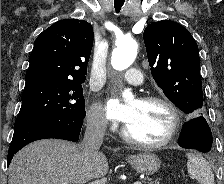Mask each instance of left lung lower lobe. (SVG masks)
Here are the masks:
<instances>
[{"mask_svg": "<svg viewBox=\"0 0 224 184\" xmlns=\"http://www.w3.org/2000/svg\"><path fill=\"white\" fill-rule=\"evenodd\" d=\"M179 146L209 152L212 146V133L203 116H196L183 126L178 141Z\"/></svg>", "mask_w": 224, "mask_h": 184, "instance_id": "1", "label": "left lung lower lobe"}]
</instances>
